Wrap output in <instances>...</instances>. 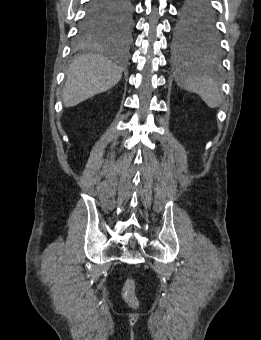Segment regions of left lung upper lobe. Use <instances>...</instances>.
Listing matches in <instances>:
<instances>
[{"label":"left lung upper lobe","mask_w":261,"mask_h":340,"mask_svg":"<svg viewBox=\"0 0 261 340\" xmlns=\"http://www.w3.org/2000/svg\"><path fill=\"white\" fill-rule=\"evenodd\" d=\"M174 45L177 49L199 52L211 58L221 55L213 8L205 0H187L180 9L174 27Z\"/></svg>","instance_id":"obj_1"}]
</instances>
